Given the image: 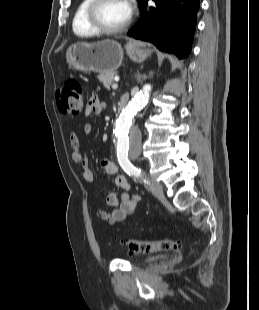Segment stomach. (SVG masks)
Returning <instances> with one entry per match:
<instances>
[{"label":"stomach","mask_w":259,"mask_h":310,"mask_svg":"<svg viewBox=\"0 0 259 310\" xmlns=\"http://www.w3.org/2000/svg\"><path fill=\"white\" fill-rule=\"evenodd\" d=\"M126 53L134 62L141 63L151 51L140 47L135 42L125 46ZM123 49L114 40H103L96 43L77 42L69 46L66 52L67 63L74 69L83 72H115L122 63Z\"/></svg>","instance_id":"0dacf381"}]
</instances>
